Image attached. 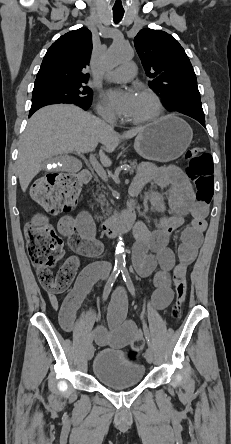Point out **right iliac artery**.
Masks as SVG:
<instances>
[{
    "label": "right iliac artery",
    "instance_id": "right-iliac-artery-1",
    "mask_svg": "<svg viewBox=\"0 0 231 444\" xmlns=\"http://www.w3.org/2000/svg\"><path fill=\"white\" fill-rule=\"evenodd\" d=\"M119 273H120V268L115 267L112 274L110 275V277L108 279V282H107L105 288H104V292H103V300L104 301L108 298L110 291L112 289V286H113L116 278L118 277ZM92 341H93V334L90 335L88 344L91 345Z\"/></svg>",
    "mask_w": 231,
    "mask_h": 444
}]
</instances>
